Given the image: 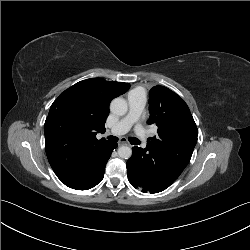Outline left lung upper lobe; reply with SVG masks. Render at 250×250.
<instances>
[{
  "instance_id": "left-lung-upper-lobe-1",
  "label": "left lung upper lobe",
  "mask_w": 250,
  "mask_h": 250,
  "mask_svg": "<svg viewBox=\"0 0 250 250\" xmlns=\"http://www.w3.org/2000/svg\"><path fill=\"white\" fill-rule=\"evenodd\" d=\"M148 124L158 126V135L148 145L160 149L175 147V154L190 160L197 142L198 129L184 100L170 89L157 85L149 93Z\"/></svg>"
}]
</instances>
